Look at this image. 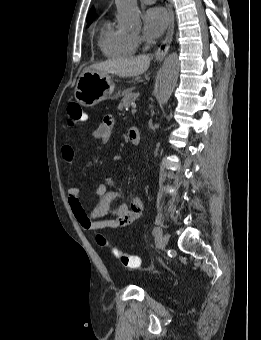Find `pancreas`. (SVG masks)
<instances>
[{"label":"pancreas","mask_w":261,"mask_h":340,"mask_svg":"<svg viewBox=\"0 0 261 340\" xmlns=\"http://www.w3.org/2000/svg\"><path fill=\"white\" fill-rule=\"evenodd\" d=\"M121 95L123 96V99L121 100L118 109H128L132 103L135 102V100L138 98V93H132L131 89H126L122 91Z\"/></svg>","instance_id":"1"}]
</instances>
